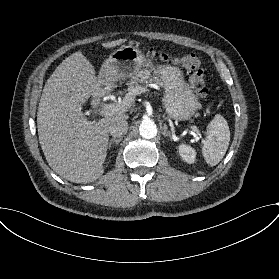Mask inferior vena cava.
<instances>
[{
    "instance_id": "602c4592",
    "label": "inferior vena cava",
    "mask_w": 279,
    "mask_h": 279,
    "mask_svg": "<svg viewBox=\"0 0 279 279\" xmlns=\"http://www.w3.org/2000/svg\"><path fill=\"white\" fill-rule=\"evenodd\" d=\"M128 127L127 121L121 119L111 125L108 129V132L114 138H122L127 134Z\"/></svg>"
}]
</instances>
